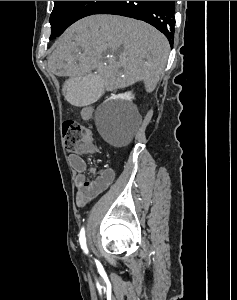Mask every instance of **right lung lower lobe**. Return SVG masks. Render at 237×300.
Listing matches in <instances>:
<instances>
[{
    "mask_svg": "<svg viewBox=\"0 0 237 300\" xmlns=\"http://www.w3.org/2000/svg\"><path fill=\"white\" fill-rule=\"evenodd\" d=\"M94 14H114L143 20L161 31L173 46L175 1H106Z\"/></svg>",
    "mask_w": 237,
    "mask_h": 300,
    "instance_id": "98d812e1",
    "label": "right lung lower lobe"
}]
</instances>
